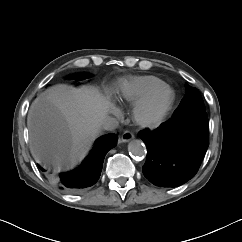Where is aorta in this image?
I'll return each instance as SVG.
<instances>
[{
    "label": "aorta",
    "instance_id": "762f6f07",
    "mask_svg": "<svg viewBox=\"0 0 242 242\" xmlns=\"http://www.w3.org/2000/svg\"><path fill=\"white\" fill-rule=\"evenodd\" d=\"M129 153L136 157H144L146 148L143 142L140 140H132L128 144Z\"/></svg>",
    "mask_w": 242,
    "mask_h": 242
}]
</instances>
